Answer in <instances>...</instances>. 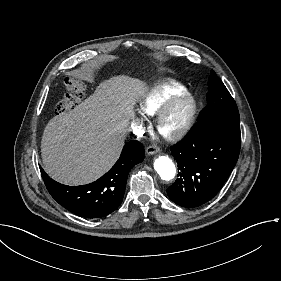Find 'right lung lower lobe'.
<instances>
[{
	"label": "right lung lower lobe",
	"mask_w": 281,
	"mask_h": 281,
	"mask_svg": "<svg viewBox=\"0 0 281 281\" xmlns=\"http://www.w3.org/2000/svg\"><path fill=\"white\" fill-rule=\"evenodd\" d=\"M144 148L130 141L112 169L93 183L66 186L51 179L42 168L41 174L51 196L64 208L81 217H104L116 210L124 196L130 169L142 162Z\"/></svg>",
	"instance_id": "right-lung-lower-lobe-1"
}]
</instances>
